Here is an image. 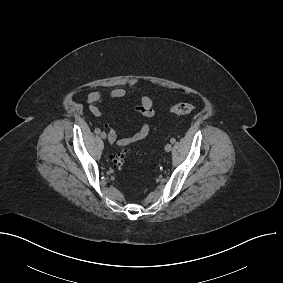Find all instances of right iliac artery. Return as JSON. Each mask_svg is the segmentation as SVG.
Returning <instances> with one entry per match:
<instances>
[{
  "label": "right iliac artery",
  "instance_id": "right-iliac-artery-1",
  "mask_svg": "<svg viewBox=\"0 0 283 283\" xmlns=\"http://www.w3.org/2000/svg\"><path fill=\"white\" fill-rule=\"evenodd\" d=\"M100 132H101V130H100L99 128H96V129H95V133H96V134H99Z\"/></svg>",
  "mask_w": 283,
  "mask_h": 283
}]
</instances>
